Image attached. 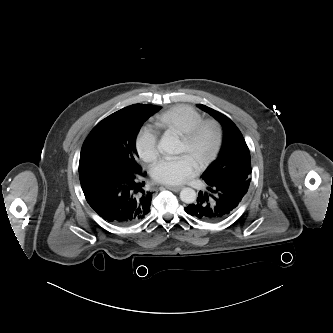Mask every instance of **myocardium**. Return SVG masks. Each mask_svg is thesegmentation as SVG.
I'll return each instance as SVG.
<instances>
[{
	"instance_id": "obj_1",
	"label": "myocardium",
	"mask_w": 333,
	"mask_h": 333,
	"mask_svg": "<svg viewBox=\"0 0 333 333\" xmlns=\"http://www.w3.org/2000/svg\"><path fill=\"white\" fill-rule=\"evenodd\" d=\"M207 128H211L214 131V145L211 152L205 158L201 159L198 162V169H205L206 167L211 165L219 156L224 142L223 125L216 119H204L197 125H195L192 129H190L188 132L181 135V139L188 146L192 147L196 143L202 132Z\"/></svg>"
}]
</instances>
